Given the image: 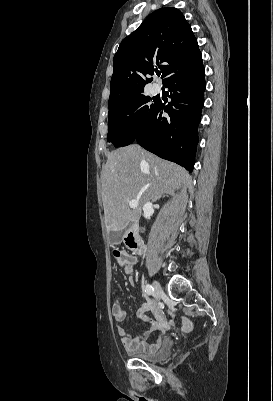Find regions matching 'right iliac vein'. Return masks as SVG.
Here are the masks:
<instances>
[{
    "label": "right iliac vein",
    "mask_w": 273,
    "mask_h": 401,
    "mask_svg": "<svg viewBox=\"0 0 273 401\" xmlns=\"http://www.w3.org/2000/svg\"><path fill=\"white\" fill-rule=\"evenodd\" d=\"M153 293L156 299H159L163 294V289L158 281L153 282Z\"/></svg>",
    "instance_id": "1"
}]
</instances>
